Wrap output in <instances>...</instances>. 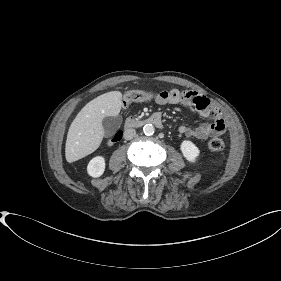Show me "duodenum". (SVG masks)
Instances as JSON below:
<instances>
[{"label":"duodenum","mask_w":281,"mask_h":281,"mask_svg":"<svg viewBox=\"0 0 281 281\" xmlns=\"http://www.w3.org/2000/svg\"><path fill=\"white\" fill-rule=\"evenodd\" d=\"M152 124L159 128H163V121L159 114H153L150 117L142 118V119H135L131 118L128 119L124 124V129H130V128H137V127H143L145 125Z\"/></svg>","instance_id":"obj_1"}]
</instances>
